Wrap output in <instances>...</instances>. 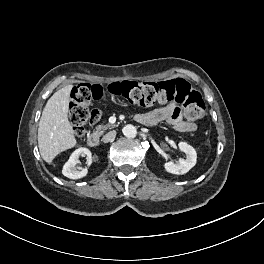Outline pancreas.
Returning <instances> with one entry per match:
<instances>
[{
    "instance_id": "pancreas-1",
    "label": "pancreas",
    "mask_w": 264,
    "mask_h": 264,
    "mask_svg": "<svg viewBox=\"0 0 264 264\" xmlns=\"http://www.w3.org/2000/svg\"><path fill=\"white\" fill-rule=\"evenodd\" d=\"M113 125H111V124H106V125H98L97 126V130H96V132L98 133V134H102L105 130H107V128H110V127H112Z\"/></svg>"
}]
</instances>
